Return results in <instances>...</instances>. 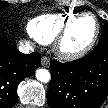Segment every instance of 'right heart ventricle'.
Returning a JSON list of instances; mask_svg holds the SVG:
<instances>
[{
    "label": "right heart ventricle",
    "instance_id": "e07e8e85",
    "mask_svg": "<svg viewBox=\"0 0 108 108\" xmlns=\"http://www.w3.org/2000/svg\"><path fill=\"white\" fill-rule=\"evenodd\" d=\"M76 15L73 13L44 14L32 19L29 23V33L39 42H53L62 28Z\"/></svg>",
    "mask_w": 108,
    "mask_h": 108
}]
</instances>
